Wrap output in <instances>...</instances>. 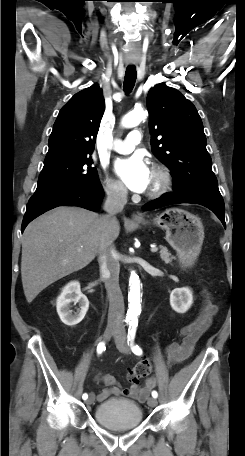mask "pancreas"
<instances>
[{"label":"pancreas","mask_w":245,"mask_h":456,"mask_svg":"<svg viewBox=\"0 0 245 456\" xmlns=\"http://www.w3.org/2000/svg\"><path fill=\"white\" fill-rule=\"evenodd\" d=\"M160 258L162 259V261H164L166 264H171L172 263V260L175 259V257H173L171 255V253L168 251V249L164 246H160Z\"/></svg>","instance_id":"pancreas-1"}]
</instances>
